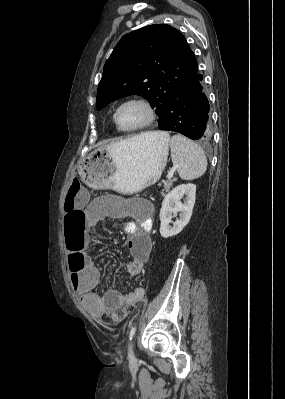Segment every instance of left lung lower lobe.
I'll list each match as a JSON object with an SVG mask.
<instances>
[{
	"instance_id": "left-lung-lower-lobe-1",
	"label": "left lung lower lobe",
	"mask_w": 285,
	"mask_h": 399,
	"mask_svg": "<svg viewBox=\"0 0 285 399\" xmlns=\"http://www.w3.org/2000/svg\"><path fill=\"white\" fill-rule=\"evenodd\" d=\"M202 78L196 69L176 87L160 130L175 131L193 140L210 138V107L201 85Z\"/></svg>"
}]
</instances>
